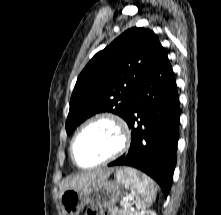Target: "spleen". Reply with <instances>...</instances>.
I'll return each mask as SVG.
<instances>
[{
  "label": "spleen",
  "instance_id": "1",
  "mask_svg": "<svg viewBox=\"0 0 221 215\" xmlns=\"http://www.w3.org/2000/svg\"><path fill=\"white\" fill-rule=\"evenodd\" d=\"M116 177L125 184L126 188H130L134 192L133 202L137 210H145L152 205L156 198V187L153 180L144 174L140 177L135 170L129 169L125 173L122 170L118 171Z\"/></svg>",
  "mask_w": 221,
  "mask_h": 215
}]
</instances>
